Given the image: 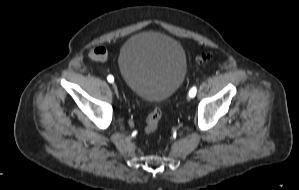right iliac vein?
Wrapping results in <instances>:
<instances>
[{
	"label": "right iliac vein",
	"mask_w": 299,
	"mask_h": 190,
	"mask_svg": "<svg viewBox=\"0 0 299 190\" xmlns=\"http://www.w3.org/2000/svg\"><path fill=\"white\" fill-rule=\"evenodd\" d=\"M112 86H113V89H114L115 93L118 95L119 94V90H118L117 84L115 82H113Z\"/></svg>",
	"instance_id": "right-iliac-vein-1"
}]
</instances>
